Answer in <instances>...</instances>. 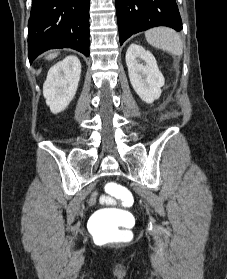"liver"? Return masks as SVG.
Wrapping results in <instances>:
<instances>
[{"label":"liver","instance_id":"6515ba94","mask_svg":"<svg viewBox=\"0 0 227 279\" xmlns=\"http://www.w3.org/2000/svg\"><path fill=\"white\" fill-rule=\"evenodd\" d=\"M57 55H58L57 52L49 53V54L46 56V59H48V60L53 59V58H55Z\"/></svg>","mask_w":227,"mask_h":279}]
</instances>
